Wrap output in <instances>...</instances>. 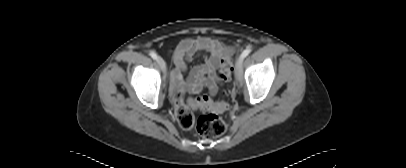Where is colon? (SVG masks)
I'll use <instances>...</instances> for the list:
<instances>
[{"mask_svg": "<svg viewBox=\"0 0 406 168\" xmlns=\"http://www.w3.org/2000/svg\"><path fill=\"white\" fill-rule=\"evenodd\" d=\"M232 70V60L227 57L224 58L218 69V77L223 85H228L230 83ZM173 99L175 103V116L181 128L189 130L195 127L198 135L203 139L218 137L225 133L227 123L216 113L222 112L227 108L226 102L219 101L213 103L210 100L202 98L185 99L181 91H176L173 94ZM197 109H205L215 113H203L196 120L194 111Z\"/></svg>", "mask_w": 406, "mask_h": 168, "instance_id": "1", "label": "colon"}]
</instances>
